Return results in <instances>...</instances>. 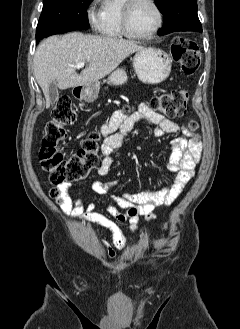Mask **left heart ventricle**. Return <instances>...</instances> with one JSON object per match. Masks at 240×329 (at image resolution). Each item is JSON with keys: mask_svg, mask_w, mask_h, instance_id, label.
I'll list each match as a JSON object with an SVG mask.
<instances>
[{"mask_svg": "<svg viewBox=\"0 0 240 329\" xmlns=\"http://www.w3.org/2000/svg\"><path fill=\"white\" fill-rule=\"evenodd\" d=\"M157 13L147 0H139L132 9L130 28L133 32L146 34L157 24Z\"/></svg>", "mask_w": 240, "mask_h": 329, "instance_id": "left-heart-ventricle-1", "label": "left heart ventricle"}]
</instances>
